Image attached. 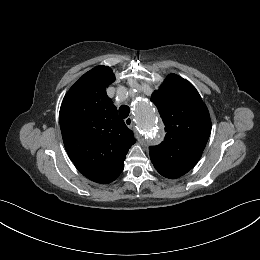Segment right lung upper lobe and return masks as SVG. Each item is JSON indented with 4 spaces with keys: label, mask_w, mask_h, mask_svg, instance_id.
<instances>
[{
    "label": "right lung upper lobe",
    "mask_w": 260,
    "mask_h": 260,
    "mask_svg": "<svg viewBox=\"0 0 260 260\" xmlns=\"http://www.w3.org/2000/svg\"><path fill=\"white\" fill-rule=\"evenodd\" d=\"M114 81L108 66L91 69L67 92L59 115L70 159L85 177L102 184L120 175L125 156L135 143L132 131L106 94Z\"/></svg>",
    "instance_id": "1"
}]
</instances>
